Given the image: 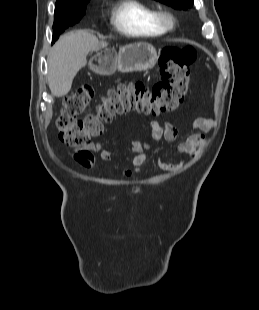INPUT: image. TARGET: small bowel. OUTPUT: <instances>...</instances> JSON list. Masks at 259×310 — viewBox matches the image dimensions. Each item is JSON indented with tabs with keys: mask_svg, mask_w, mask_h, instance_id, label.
I'll list each match as a JSON object with an SVG mask.
<instances>
[{
	"mask_svg": "<svg viewBox=\"0 0 259 310\" xmlns=\"http://www.w3.org/2000/svg\"><path fill=\"white\" fill-rule=\"evenodd\" d=\"M216 127V122L212 119L199 117L193 120L191 128L198 133L190 135L186 140L180 142L177 146V152L186 153L192 156L197 155L209 143L204 132L213 130ZM179 129L169 122L161 124L158 121H153L149 133L144 138H134L129 141L126 148L133 153L130 159L132 168L129 166L123 167V175L126 178H131L135 173H139L143 165L149 160V153L152 150V142L166 141L173 142L178 138ZM107 141L113 144L111 148H105L102 141L91 143L85 147L79 148L70 153V156L78 164L85 168H93L97 163L95 154L99 155L102 162H108L118 149L115 138L108 136ZM157 165L164 170H179L184 167L185 161L178 163L164 162L160 157L157 158Z\"/></svg>",
	"mask_w": 259,
	"mask_h": 310,
	"instance_id": "small-bowel-1",
	"label": "small bowel"
}]
</instances>
